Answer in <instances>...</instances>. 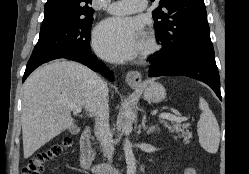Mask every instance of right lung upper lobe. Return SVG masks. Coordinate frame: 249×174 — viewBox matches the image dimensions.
Returning <instances> with one entry per match:
<instances>
[{
    "label": "right lung upper lobe",
    "mask_w": 249,
    "mask_h": 174,
    "mask_svg": "<svg viewBox=\"0 0 249 174\" xmlns=\"http://www.w3.org/2000/svg\"><path fill=\"white\" fill-rule=\"evenodd\" d=\"M92 0H47L42 26L92 17Z\"/></svg>",
    "instance_id": "1"
}]
</instances>
